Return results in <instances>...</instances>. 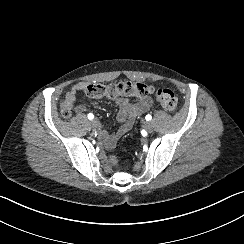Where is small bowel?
<instances>
[{"label": "small bowel", "mask_w": 244, "mask_h": 244, "mask_svg": "<svg viewBox=\"0 0 244 244\" xmlns=\"http://www.w3.org/2000/svg\"><path fill=\"white\" fill-rule=\"evenodd\" d=\"M85 84L78 82L74 84L66 93L64 104L70 109H75L76 113L83 115L86 112V106L83 104L76 105V97L83 90ZM115 104L119 108L118 120L121 123L120 128L109 138L113 141L115 137L124 135L133 125L136 117L147 112L152 106L150 98H142L136 101H130L124 97L115 98Z\"/></svg>", "instance_id": "small-bowel-1"}]
</instances>
